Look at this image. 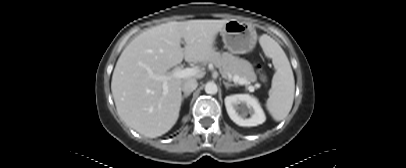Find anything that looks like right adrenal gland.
<instances>
[{
    "label": "right adrenal gland",
    "mask_w": 406,
    "mask_h": 168,
    "mask_svg": "<svg viewBox=\"0 0 406 168\" xmlns=\"http://www.w3.org/2000/svg\"><path fill=\"white\" fill-rule=\"evenodd\" d=\"M189 96H190V94H184V95L182 96V98H181V101L183 102V100H184L185 98L189 97Z\"/></svg>",
    "instance_id": "2a0ac1e0"
}]
</instances>
